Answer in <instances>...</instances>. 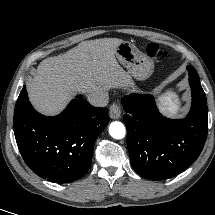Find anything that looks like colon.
<instances>
[{"label":"colon","mask_w":215,"mask_h":215,"mask_svg":"<svg viewBox=\"0 0 215 215\" xmlns=\"http://www.w3.org/2000/svg\"><path fill=\"white\" fill-rule=\"evenodd\" d=\"M146 53L150 57H155L159 59H164L167 56V52L162 50L157 44L155 43H150L146 47Z\"/></svg>","instance_id":"5ec220e1"}]
</instances>
